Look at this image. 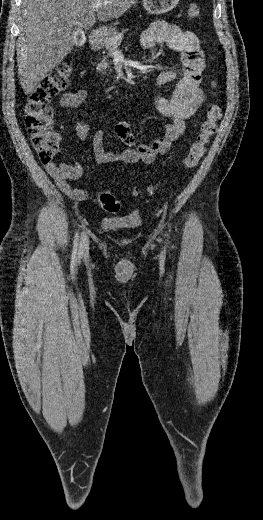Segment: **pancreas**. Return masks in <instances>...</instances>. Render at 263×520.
Wrapping results in <instances>:
<instances>
[{"mask_svg": "<svg viewBox=\"0 0 263 520\" xmlns=\"http://www.w3.org/2000/svg\"><path fill=\"white\" fill-rule=\"evenodd\" d=\"M127 29H123L122 32H115L111 36H108L104 39V46L105 49L108 51L107 56H112L115 49H117L124 37V32ZM109 67V63L106 61V58L102 60L101 63H99L96 67V69L101 72L105 71Z\"/></svg>", "mask_w": 263, "mask_h": 520, "instance_id": "cf45deb5", "label": "pancreas"}]
</instances>
